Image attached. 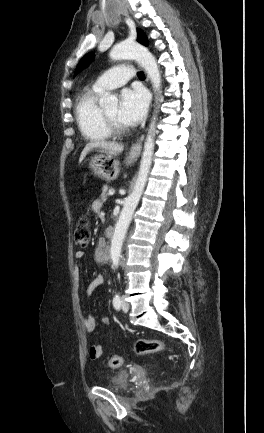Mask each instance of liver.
<instances>
[{"label": "liver", "instance_id": "obj_1", "mask_svg": "<svg viewBox=\"0 0 264 433\" xmlns=\"http://www.w3.org/2000/svg\"><path fill=\"white\" fill-rule=\"evenodd\" d=\"M97 148L101 149L102 152H105L107 154L117 155L123 151L124 146L122 144L110 141H92L86 144L83 151L81 152L79 163L83 161V159L90 151Z\"/></svg>", "mask_w": 264, "mask_h": 433}]
</instances>
